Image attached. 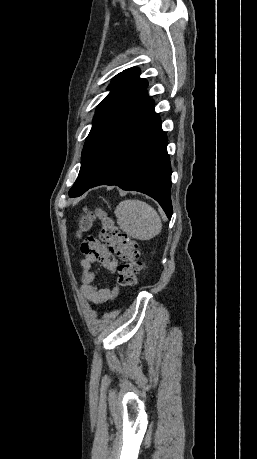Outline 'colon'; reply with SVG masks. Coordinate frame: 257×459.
<instances>
[{"instance_id":"colon-1","label":"colon","mask_w":257,"mask_h":459,"mask_svg":"<svg viewBox=\"0 0 257 459\" xmlns=\"http://www.w3.org/2000/svg\"><path fill=\"white\" fill-rule=\"evenodd\" d=\"M99 218L102 222L100 238L109 249L116 253L121 260L118 267V283L123 287H133L138 282L141 270L138 244L128 235L122 233L114 220L108 215L102 205L95 208H84L78 216V230L86 231L93 220Z\"/></svg>"}]
</instances>
